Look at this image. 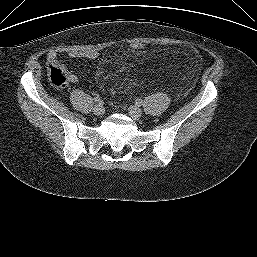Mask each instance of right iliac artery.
Wrapping results in <instances>:
<instances>
[{
    "label": "right iliac artery",
    "mask_w": 257,
    "mask_h": 257,
    "mask_svg": "<svg viewBox=\"0 0 257 257\" xmlns=\"http://www.w3.org/2000/svg\"><path fill=\"white\" fill-rule=\"evenodd\" d=\"M94 101L97 102V103H100V102H102V99H101L100 96L97 95V96L94 97Z\"/></svg>",
    "instance_id": "1"
}]
</instances>
